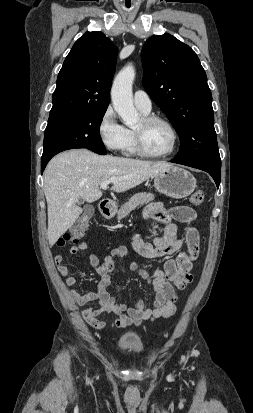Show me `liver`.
Masks as SVG:
<instances>
[{
	"instance_id": "1",
	"label": "liver",
	"mask_w": 253,
	"mask_h": 413,
	"mask_svg": "<svg viewBox=\"0 0 253 413\" xmlns=\"http://www.w3.org/2000/svg\"><path fill=\"white\" fill-rule=\"evenodd\" d=\"M172 166L167 162L100 156L87 149H74L56 155L44 172L50 247L82 213V208L77 206L80 198L89 203L101 198L99 186L102 182L116 179L111 190L121 193Z\"/></svg>"
}]
</instances>
